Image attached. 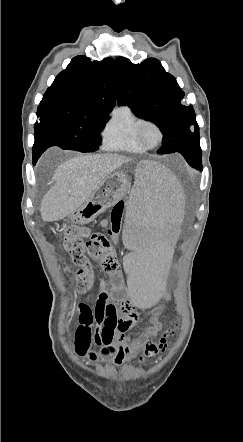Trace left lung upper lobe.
<instances>
[{
  "mask_svg": "<svg viewBox=\"0 0 243 442\" xmlns=\"http://www.w3.org/2000/svg\"><path fill=\"white\" fill-rule=\"evenodd\" d=\"M118 104L128 105L134 114L154 122L163 133L159 154L178 152L183 156L200 147L199 127L192 105L182 104L184 92L176 79L155 58L133 64L118 57ZM194 126L195 130L190 127ZM201 168V163L191 164Z\"/></svg>",
  "mask_w": 243,
  "mask_h": 442,
  "instance_id": "obj_1",
  "label": "left lung upper lobe"
}]
</instances>
